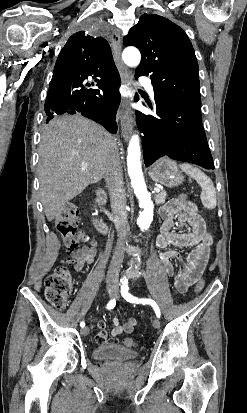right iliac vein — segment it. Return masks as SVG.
Segmentation results:
<instances>
[{
	"label": "right iliac vein",
	"instance_id": "1",
	"mask_svg": "<svg viewBox=\"0 0 247 413\" xmlns=\"http://www.w3.org/2000/svg\"><path fill=\"white\" fill-rule=\"evenodd\" d=\"M107 292H108V295L110 296V297H112L114 294H115V292H116V287L115 286H108L107 287ZM81 334H82V336H87L88 334H89V328L88 327H84L83 329H81Z\"/></svg>",
	"mask_w": 247,
	"mask_h": 413
}]
</instances>
